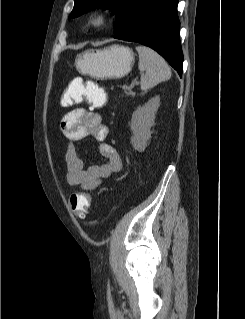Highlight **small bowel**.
<instances>
[{"label": "small bowel", "mask_w": 245, "mask_h": 319, "mask_svg": "<svg viewBox=\"0 0 245 319\" xmlns=\"http://www.w3.org/2000/svg\"><path fill=\"white\" fill-rule=\"evenodd\" d=\"M81 78H74L62 97V104L70 106L75 103V95L82 85ZM61 130L68 143L65 148L67 166V182L73 189L85 191L95 190L103 182L122 169V162L116 150L105 142L108 128L103 123L101 115L93 108H74L67 112L61 121ZM93 137L99 142V152L105 163L101 165L84 166L83 159L78 154L73 142L86 137Z\"/></svg>", "instance_id": "c3829d8e"}]
</instances>
